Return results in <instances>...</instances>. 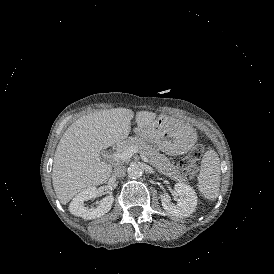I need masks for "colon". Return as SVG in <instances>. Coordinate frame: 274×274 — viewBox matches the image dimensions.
I'll return each instance as SVG.
<instances>
[{
  "instance_id": "obj_1",
  "label": "colon",
  "mask_w": 274,
  "mask_h": 274,
  "mask_svg": "<svg viewBox=\"0 0 274 274\" xmlns=\"http://www.w3.org/2000/svg\"><path fill=\"white\" fill-rule=\"evenodd\" d=\"M204 148L202 145L195 146L187 156L178 164L177 168L183 176H191L196 173V162L202 157Z\"/></svg>"
}]
</instances>
